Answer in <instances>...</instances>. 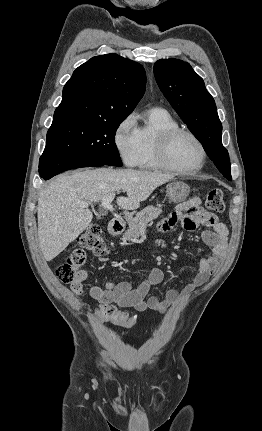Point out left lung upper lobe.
Instances as JSON below:
<instances>
[{
  "instance_id": "5c2ea615",
  "label": "left lung upper lobe",
  "mask_w": 262,
  "mask_h": 431,
  "mask_svg": "<svg viewBox=\"0 0 262 431\" xmlns=\"http://www.w3.org/2000/svg\"><path fill=\"white\" fill-rule=\"evenodd\" d=\"M160 90L190 131L201 142L221 173L231 180L228 151L222 145V124L213 97L189 63L160 59L154 65Z\"/></svg>"
}]
</instances>
